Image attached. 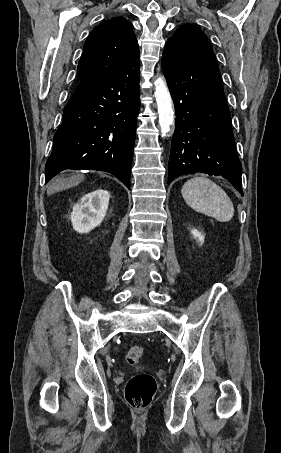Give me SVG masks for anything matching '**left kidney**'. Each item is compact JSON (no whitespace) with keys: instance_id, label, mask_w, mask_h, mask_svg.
Masks as SVG:
<instances>
[{"instance_id":"obj_1","label":"left kidney","mask_w":281,"mask_h":453,"mask_svg":"<svg viewBox=\"0 0 281 453\" xmlns=\"http://www.w3.org/2000/svg\"><path fill=\"white\" fill-rule=\"evenodd\" d=\"M191 233L193 235V239H198L199 243H201V245H203V243L205 241L204 235H202V233H200V231H197V229H192Z\"/></svg>"}]
</instances>
